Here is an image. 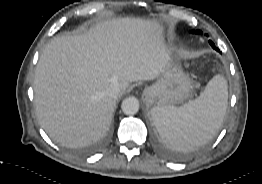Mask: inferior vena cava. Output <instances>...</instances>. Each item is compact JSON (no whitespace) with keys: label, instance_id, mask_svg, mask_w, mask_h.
Here are the masks:
<instances>
[{"label":"inferior vena cava","instance_id":"inferior-vena-cava-1","mask_svg":"<svg viewBox=\"0 0 262 184\" xmlns=\"http://www.w3.org/2000/svg\"><path fill=\"white\" fill-rule=\"evenodd\" d=\"M120 94V87L116 84H112L106 90V96L116 100Z\"/></svg>","mask_w":262,"mask_h":184}]
</instances>
